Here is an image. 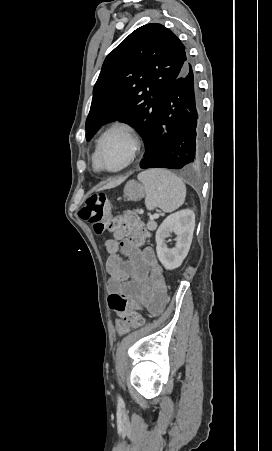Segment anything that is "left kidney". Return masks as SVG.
<instances>
[{
    "mask_svg": "<svg viewBox=\"0 0 272 451\" xmlns=\"http://www.w3.org/2000/svg\"><path fill=\"white\" fill-rule=\"evenodd\" d=\"M195 227V214L192 210H181L171 216L158 227L155 235L156 251L165 269H175L181 265L185 259L191 245L193 231ZM175 233V247H168L166 237H171Z\"/></svg>",
    "mask_w": 272,
    "mask_h": 451,
    "instance_id": "left-kidney-1",
    "label": "left kidney"
}]
</instances>
